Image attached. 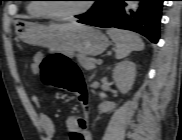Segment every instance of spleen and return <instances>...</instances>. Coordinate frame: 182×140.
I'll return each mask as SVG.
<instances>
[{
	"label": "spleen",
	"mask_w": 182,
	"mask_h": 140,
	"mask_svg": "<svg viewBox=\"0 0 182 140\" xmlns=\"http://www.w3.org/2000/svg\"><path fill=\"white\" fill-rule=\"evenodd\" d=\"M107 34L116 45L115 56L117 59L127 57L132 51H141L144 49L142 39L133 32L113 28L109 29Z\"/></svg>",
	"instance_id": "spleen-1"
}]
</instances>
